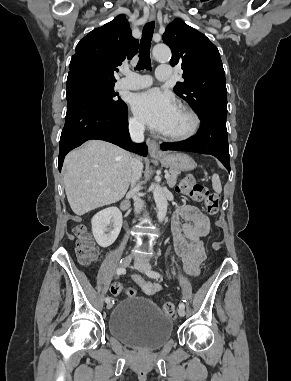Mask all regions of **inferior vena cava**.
Wrapping results in <instances>:
<instances>
[{"instance_id": "obj_1", "label": "inferior vena cava", "mask_w": 291, "mask_h": 381, "mask_svg": "<svg viewBox=\"0 0 291 381\" xmlns=\"http://www.w3.org/2000/svg\"><path fill=\"white\" fill-rule=\"evenodd\" d=\"M129 133L133 142L140 143L144 141V125L138 121L129 122ZM143 165L139 158H131V190L134 198L135 213L139 214L143 207V201L140 198V185L137 184L142 176Z\"/></svg>"}]
</instances>
